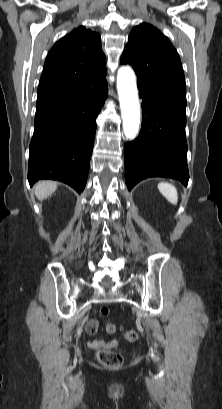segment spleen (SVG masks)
Masks as SVG:
<instances>
[{"instance_id": "obj_1", "label": "spleen", "mask_w": 222, "mask_h": 409, "mask_svg": "<svg viewBox=\"0 0 222 409\" xmlns=\"http://www.w3.org/2000/svg\"><path fill=\"white\" fill-rule=\"evenodd\" d=\"M158 189L161 194L173 205L178 202V193L175 186L170 183L161 182L158 184Z\"/></svg>"}]
</instances>
